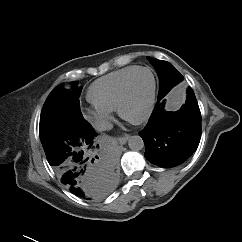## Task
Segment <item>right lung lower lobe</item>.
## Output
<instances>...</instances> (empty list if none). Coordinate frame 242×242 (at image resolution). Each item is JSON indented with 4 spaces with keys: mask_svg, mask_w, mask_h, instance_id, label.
I'll return each instance as SVG.
<instances>
[{
    "mask_svg": "<svg viewBox=\"0 0 242 242\" xmlns=\"http://www.w3.org/2000/svg\"><path fill=\"white\" fill-rule=\"evenodd\" d=\"M96 132L70 134L51 143L45 150L47 160L69 191L84 199H101L114 188L117 180L112 161L96 154Z\"/></svg>",
    "mask_w": 242,
    "mask_h": 242,
    "instance_id": "obj_1",
    "label": "right lung lower lobe"
}]
</instances>
